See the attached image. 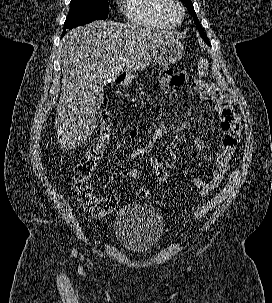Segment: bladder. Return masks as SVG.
Here are the masks:
<instances>
[{
  "label": "bladder",
  "mask_w": 272,
  "mask_h": 303,
  "mask_svg": "<svg viewBox=\"0 0 272 303\" xmlns=\"http://www.w3.org/2000/svg\"><path fill=\"white\" fill-rule=\"evenodd\" d=\"M114 232L124 249L131 253H145L160 242L164 221L156 208L143 203H130L116 213Z\"/></svg>",
  "instance_id": "bladder-1"
}]
</instances>
